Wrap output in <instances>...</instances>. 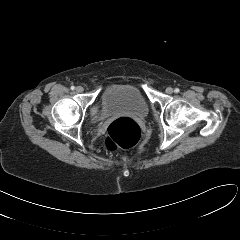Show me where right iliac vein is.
<instances>
[{"label":"right iliac vein","instance_id":"right-iliac-vein-1","mask_svg":"<svg viewBox=\"0 0 240 240\" xmlns=\"http://www.w3.org/2000/svg\"><path fill=\"white\" fill-rule=\"evenodd\" d=\"M83 91H84V88L82 86H78L76 88V92H78V93H82Z\"/></svg>","mask_w":240,"mask_h":240}]
</instances>
